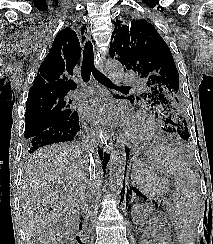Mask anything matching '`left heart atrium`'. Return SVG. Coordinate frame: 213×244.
<instances>
[{"mask_svg":"<svg viewBox=\"0 0 213 244\" xmlns=\"http://www.w3.org/2000/svg\"><path fill=\"white\" fill-rule=\"evenodd\" d=\"M83 114L97 127L119 123L127 129L132 122V116L124 107L106 97L87 100Z\"/></svg>","mask_w":213,"mask_h":244,"instance_id":"left-heart-atrium-1","label":"left heart atrium"}]
</instances>
